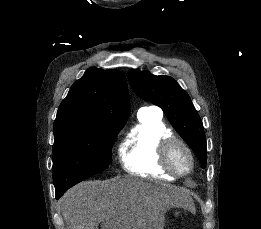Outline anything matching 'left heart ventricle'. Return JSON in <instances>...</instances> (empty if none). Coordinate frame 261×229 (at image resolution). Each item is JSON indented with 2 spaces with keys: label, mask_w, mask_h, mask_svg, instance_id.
<instances>
[{
  "label": "left heart ventricle",
  "mask_w": 261,
  "mask_h": 229,
  "mask_svg": "<svg viewBox=\"0 0 261 229\" xmlns=\"http://www.w3.org/2000/svg\"><path fill=\"white\" fill-rule=\"evenodd\" d=\"M173 165L178 170H185L189 165L186 152L181 147L176 148L172 154Z\"/></svg>",
  "instance_id": "b2bd125f"
}]
</instances>
